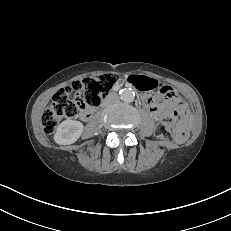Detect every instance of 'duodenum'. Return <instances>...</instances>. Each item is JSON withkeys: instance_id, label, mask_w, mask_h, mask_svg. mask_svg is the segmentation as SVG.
Here are the masks:
<instances>
[{"instance_id": "obj_1", "label": "duodenum", "mask_w": 231, "mask_h": 231, "mask_svg": "<svg viewBox=\"0 0 231 231\" xmlns=\"http://www.w3.org/2000/svg\"><path fill=\"white\" fill-rule=\"evenodd\" d=\"M142 101H143V103H144L147 107H149V103H148V99H147V98H145L144 96H142ZM86 113H87V116H86L85 118H89V117H90L89 112H86Z\"/></svg>"}]
</instances>
